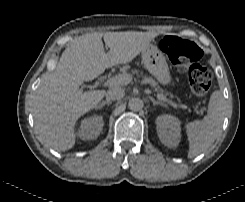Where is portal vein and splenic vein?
<instances>
[{"mask_svg": "<svg viewBox=\"0 0 245 202\" xmlns=\"http://www.w3.org/2000/svg\"><path fill=\"white\" fill-rule=\"evenodd\" d=\"M132 81V75L130 74H119L116 75L110 79H108L106 82H104L103 86H118V85H127ZM157 98L159 100L165 101L167 103H170L171 105L173 104L172 101L168 100L164 95L162 94H157Z\"/></svg>", "mask_w": 245, "mask_h": 202, "instance_id": "portal-vein-and-splenic-vein-1", "label": "portal vein and splenic vein"}]
</instances>
